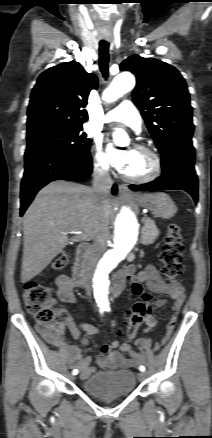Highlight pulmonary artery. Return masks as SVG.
I'll list each match as a JSON object with an SVG mask.
<instances>
[{
  "label": "pulmonary artery",
  "mask_w": 212,
  "mask_h": 438,
  "mask_svg": "<svg viewBox=\"0 0 212 438\" xmlns=\"http://www.w3.org/2000/svg\"><path fill=\"white\" fill-rule=\"evenodd\" d=\"M105 121L123 123L137 131L141 128V117L136 107L130 101L121 102L116 108L108 112Z\"/></svg>",
  "instance_id": "1"
}]
</instances>
